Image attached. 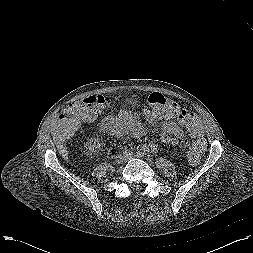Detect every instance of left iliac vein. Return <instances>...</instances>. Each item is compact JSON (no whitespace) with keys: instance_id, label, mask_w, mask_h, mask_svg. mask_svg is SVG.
<instances>
[{"instance_id":"4c4485c4","label":"left iliac vein","mask_w":253,"mask_h":253,"mask_svg":"<svg viewBox=\"0 0 253 253\" xmlns=\"http://www.w3.org/2000/svg\"><path fill=\"white\" fill-rule=\"evenodd\" d=\"M136 156L135 155H130L126 158V160H129V159H134Z\"/></svg>"}]
</instances>
